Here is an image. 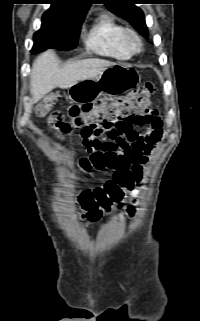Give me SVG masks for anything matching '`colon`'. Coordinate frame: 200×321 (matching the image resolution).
Segmentation results:
<instances>
[{
    "mask_svg": "<svg viewBox=\"0 0 200 321\" xmlns=\"http://www.w3.org/2000/svg\"><path fill=\"white\" fill-rule=\"evenodd\" d=\"M155 91L152 83L128 93L125 96H101L95 101L70 106L65 113H53L48 122L56 137L64 138L73 130L82 129V133L96 126L110 127L121 120L132 116L143 115L152 110L151 96ZM56 104V97L46 96L37 106L38 116L47 115ZM82 169L88 171L92 167L102 169L114 167V178L104 186L84 190L80 195L83 217L89 222L97 221L104 211L111 209L114 202L123 196V190L132 186V174L124 162L113 164L99 154L80 159Z\"/></svg>",
    "mask_w": 200,
    "mask_h": 321,
    "instance_id": "colon-1",
    "label": "colon"
}]
</instances>
